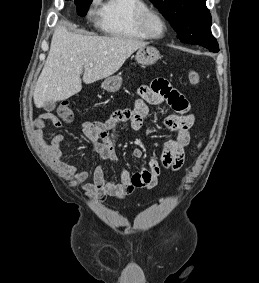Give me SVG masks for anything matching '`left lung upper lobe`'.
<instances>
[{"mask_svg":"<svg viewBox=\"0 0 259 283\" xmlns=\"http://www.w3.org/2000/svg\"><path fill=\"white\" fill-rule=\"evenodd\" d=\"M170 21L183 43L217 42L211 33V15L206 0H151Z\"/></svg>","mask_w":259,"mask_h":283,"instance_id":"obj_1","label":"left lung upper lobe"}]
</instances>
